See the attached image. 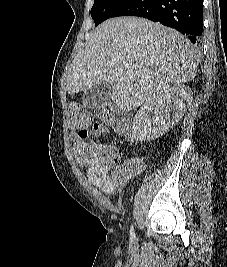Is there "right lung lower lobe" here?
Here are the masks:
<instances>
[{"mask_svg": "<svg viewBox=\"0 0 227 267\" xmlns=\"http://www.w3.org/2000/svg\"><path fill=\"white\" fill-rule=\"evenodd\" d=\"M138 16L169 26L199 43L203 32V0H129L113 17Z\"/></svg>", "mask_w": 227, "mask_h": 267, "instance_id": "right-lung-lower-lobe-1", "label": "right lung lower lobe"}]
</instances>
